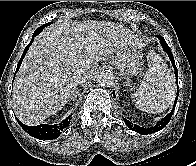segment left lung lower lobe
Instances as JSON below:
<instances>
[{"label":"left lung lower lobe","mask_w":196,"mask_h":166,"mask_svg":"<svg viewBox=\"0 0 196 166\" xmlns=\"http://www.w3.org/2000/svg\"><path fill=\"white\" fill-rule=\"evenodd\" d=\"M158 39L160 40V43L164 49V51L168 54L171 62H172V65L175 69V76H176V81L178 82V71H177V68L175 66V61H174V57L172 55V52L169 48V46L167 45L166 41L164 40V38L162 36H157ZM113 95L115 96V93L113 92ZM177 100H178V91H177V96L175 98V103H174V107L172 109V111L167 115L165 116L161 121H159L154 127L152 128H143V127H140L136 124H133L132 122L128 121L127 119H124V122L126 123V125L132 129L133 131H136L138 132L139 134H142V135H147V134H151V133H154V132H157L159 130H161L162 128H164L170 121L171 117H172V114L175 110V106H176V103H177Z\"/></svg>","instance_id":"left-lung-lower-lobe-1"}]
</instances>
